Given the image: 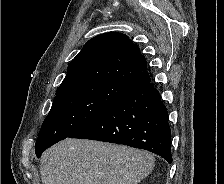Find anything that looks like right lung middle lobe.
<instances>
[{"mask_svg": "<svg viewBox=\"0 0 224 184\" xmlns=\"http://www.w3.org/2000/svg\"><path fill=\"white\" fill-rule=\"evenodd\" d=\"M130 89L108 81H89L57 93L40 129L36 156L92 122Z\"/></svg>", "mask_w": 224, "mask_h": 184, "instance_id": "right-lung-middle-lobe-1", "label": "right lung middle lobe"}]
</instances>
